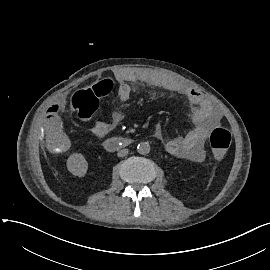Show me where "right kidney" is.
Masks as SVG:
<instances>
[{"label":"right kidney","instance_id":"1","mask_svg":"<svg viewBox=\"0 0 270 270\" xmlns=\"http://www.w3.org/2000/svg\"><path fill=\"white\" fill-rule=\"evenodd\" d=\"M88 168L87 161L82 154H72L67 159V169L76 176L82 177L86 174Z\"/></svg>","mask_w":270,"mask_h":270}]
</instances>
